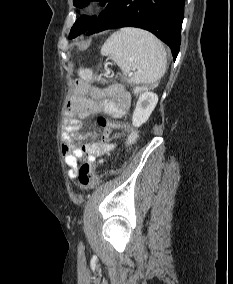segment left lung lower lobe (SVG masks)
I'll list each match as a JSON object with an SVG mask.
<instances>
[{"instance_id":"obj_1","label":"left lung lower lobe","mask_w":233,"mask_h":284,"mask_svg":"<svg viewBox=\"0 0 233 284\" xmlns=\"http://www.w3.org/2000/svg\"><path fill=\"white\" fill-rule=\"evenodd\" d=\"M185 0H110L87 35L107 29L137 27L166 43L174 60L180 49Z\"/></svg>"}]
</instances>
